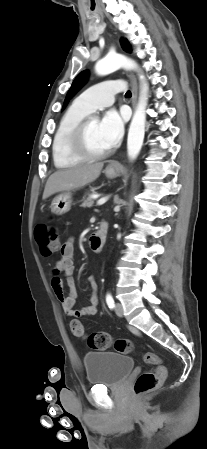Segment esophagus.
Listing matches in <instances>:
<instances>
[{
    "instance_id": "1",
    "label": "esophagus",
    "mask_w": 207,
    "mask_h": 449,
    "mask_svg": "<svg viewBox=\"0 0 207 449\" xmlns=\"http://www.w3.org/2000/svg\"><path fill=\"white\" fill-rule=\"evenodd\" d=\"M127 75L129 77V80H130L131 85H132V107L134 109L135 105H136V99H137V81H136V78H135V76L133 74L127 73ZM116 166H117L116 162H113V163L110 164V167H116Z\"/></svg>"
}]
</instances>
